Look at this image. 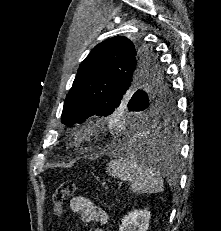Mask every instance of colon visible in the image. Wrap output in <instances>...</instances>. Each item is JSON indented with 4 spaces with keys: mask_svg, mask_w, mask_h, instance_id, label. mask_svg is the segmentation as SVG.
<instances>
[{
    "mask_svg": "<svg viewBox=\"0 0 221 231\" xmlns=\"http://www.w3.org/2000/svg\"><path fill=\"white\" fill-rule=\"evenodd\" d=\"M77 190L78 187L73 181H65L55 189L52 195V202L54 212L57 216L60 217L64 214L66 198L74 194Z\"/></svg>",
    "mask_w": 221,
    "mask_h": 231,
    "instance_id": "colon-1",
    "label": "colon"
}]
</instances>
